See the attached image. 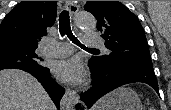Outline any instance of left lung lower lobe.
<instances>
[{
    "label": "left lung lower lobe",
    "instance_id": "left-lung-lower-lobe-1",
    "mask_svg": "<svg viewBox=\"0 0 171 110\" xmlns=\"http://www.w3.org/2000/svg\"><path fill=\"white\" fill-rule=\"evenodd\" d=\"M90 67V66H89ZM93 86L80 98L88 108L103 95L128 83L141 82L150 85L158 94V83L153 67L141 65H113L108 68L90 67Z\"/></svg>",
    "mask_w": 171,
    "mask_h": 110
}]
</instances>
